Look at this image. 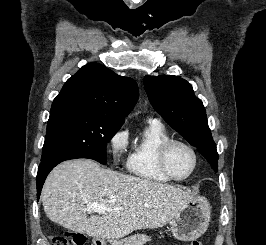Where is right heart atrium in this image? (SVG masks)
<instances>
[{"instance_id": "1", "label": "right heart atrium", "mask_w": 266, "mask_h": 245, "mask_svg": "<svg viewBox=\"0 0 266 245\" xmlns=\"http://www.w3.org/2000/svg\"><path fill=\"white\" fill-rule=\"evenodd\" d=\"M108 154L112 163L116 164L129 153V132L124 127L115 129L107 141Z\"/></svg>"}]
</instances>
